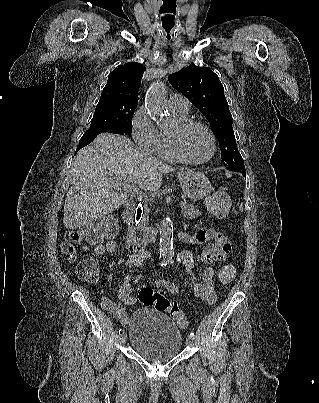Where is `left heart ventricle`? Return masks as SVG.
I'll use <instances>...</instances> for the list:
<instances>
[{
  "mask_svg": "<svg viewBox=\"0 0 319 403\" xmlns=\"http://www.w3.org/2000/svg\"><path fill=\"white\" fill-rule=\"evenodd\" d=\"M174 126L170 129L172 131ZM181 146L184 153L193 160H203L211 153V141L207 133L200 127H192L181 135Z\"/></svg>",
  "mask_w": 319,
  "mask_h": 403,
  "instance_id": "left-heart-ventricle-1",
  "label": "left heart ventricle"
}]
</instances>
